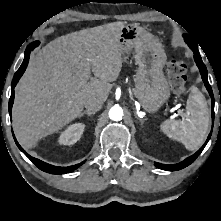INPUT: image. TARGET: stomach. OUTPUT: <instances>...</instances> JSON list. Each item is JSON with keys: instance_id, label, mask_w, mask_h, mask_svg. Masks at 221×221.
<instances>
[{"instance_id": "obj_1", "label": "stomach", "mask_w": 221, "mask_h": 221, "mask_svg": "<svg viewBox=\"0 0 221 221\" xmlns=\"http://www.w3.org/2000/svg\"><path fill=\"white\" fill-rule=\"evenodd\" d=\"M123 59L133 51L138 65L135 95L145 111L156 112L169 98L170 89L163 74L166 53L158 40L137 24L125 25L120 32Z\"/></svg>"}]
</instances>
